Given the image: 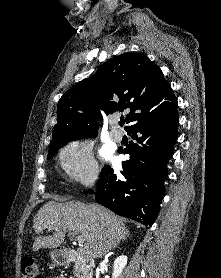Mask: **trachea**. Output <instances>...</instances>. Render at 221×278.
Masks as SVG:
<instances>
[{
	"instance_id": "3493384b",
	"label": "trachea",
	"mask_w": 221,
	"mask_h": 278,
	"mask_svg": "<svg viewBox=\"0 0 221 278\" xmlns=\"http://www.w3.org/2000/svg\"><path fill=\"white\" fill-rule=\"evenodd\" d=\"M124 123H125V121H124V120H120V121H119V125H120V126H123V125H124Z\"/></svg>"
}]
</instances>
